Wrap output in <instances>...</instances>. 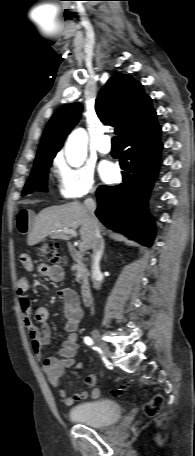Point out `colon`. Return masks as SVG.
Here are the masks:
<instances>
[{
    "label": "colon",
    "instance_id": "1",
    "mask_svg": "<svg viewBox=\"0 0 195 456\" xmlns=\"http://www.w3.org/2000/svg\"><path fill=\"white\" fill-rule=\"evenodd\" d=\"M36 253L50 265H59L61 256L58 251V245L54 241H46L36 249ZM127 385L122 383L113 393L122 396L126 391ZM163 405V397L160 394L153 395L143 407L144 413L153 417L159 414Z\"/></svg>",
    "mask_w": 195,
    "mask_h": 456
}]
</instances>
